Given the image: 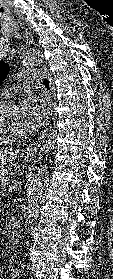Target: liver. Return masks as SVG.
<instances>
[{
  "mask_svg": "<svg viewBox=\"0 0 113 279\" xmlns=\"http://www.w3.org/2000/svg\"><path fill=\"white\" fill-rule=\"evenodd\" d=\"M18 156V152L12 150H0V166L12 163Z\"/></svg>",
  "mask_w": 113,
  "mask_h": 279,
  "instance_id": "obj_1",
  "label": "liver"
}]
</instances>
